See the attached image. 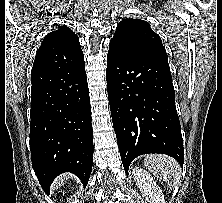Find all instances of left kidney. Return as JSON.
Returning a JSON list of instances; mask_svg holds the SVG:
<instances>
[{"instance_id": "1", "label": "left kidney", "mask_w": 222, "mask_h": 203, "mask_svg": "<svg viewBox=\"0 0 222 203\" xmlns=\"http://www.w3.org/2000/svg\"><path fill=\"white\" fill-rule=\"evenodd\" d=\"M132 174L140 192L149 203H165L161 189L146 170L134 167L132 169Z\"/></svg>"}]
</instances>
